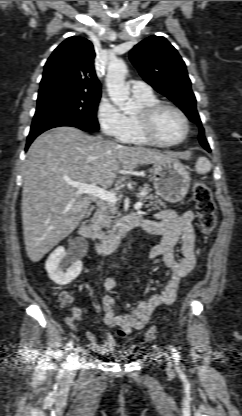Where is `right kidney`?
Masks as SVG:
<instances>
[{
	"label": "right kidney",
	"mask_w": 242,
	"mask_h": 416,
	"mask_svg": "<svg viewBox=\"0 0 242 416\" xmlns=\"http://www.w3.org/2000/svg\"><path fill=\"white\" fill-rule=\"evenodd\" d=\"M45 269L49 278L58 285H67L82 271V262L77 260L71 251L57 247L48 257Z\"/></svg>",
	"instance_id": "1"
}]
</instances>
